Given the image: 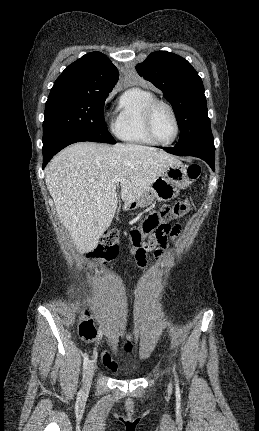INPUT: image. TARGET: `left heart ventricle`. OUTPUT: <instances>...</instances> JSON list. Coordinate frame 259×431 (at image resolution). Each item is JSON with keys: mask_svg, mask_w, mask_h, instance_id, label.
<instances>
[{"mask_svg": "<svg viewBox=\"0 0 259 431\" xmlns=\"http://www.w3.org/2000/svg\"><path fill=\"white\" fill-rule=\"evenodd\" d=\"M153 131L155 137L161 142L172 139L175 133V124L169 110L164 106H159L153 116Z\"/></svg>", "mask_w": 259, "mask_h": 431, "instance_id": "left-heart-ventricle-1", "label": "left heart ventricle"}]
</instances>
